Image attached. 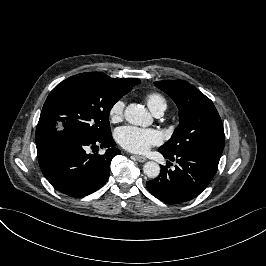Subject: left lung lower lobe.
<instances>
[{
  "label": "left lung lower lobe",
  "mask_w": 266,
  "mask_h": 266,
  "mask_svg": "<svg viewBox=\"0 0 266 266\" xmlns=\"http://www.w3.org/2000/svg\"><path fill=\"white\" fill-rule=\"evenodd\" d=\"M159 152L171 161L176 158L179 164L175 170L162 166L159 176L146 182L148 190L167 204H180L198 196L214 177L221 157L202 149H188L174 155L161 149Z\"/></svg>",
  "instance_id": "left-lung-lower-lobe-1"
}]
</instances>
